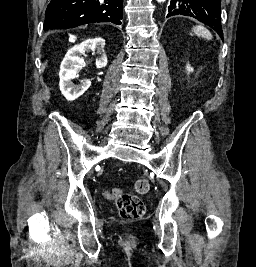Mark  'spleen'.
I'll use <instances>...</instances> for the list:
<instances>
[{
    "mask_svg": "<svg viewBox=\"0 0 256 267\" xmlns=\"http://www.w3.org/2000/svg\"><path fill=\"white\" fill-rule=\"evenodd\" d=\"M193 34L191 36H200V38H206V40H212L213 36L207 28H204V26H194L192 28Z\"/></svg>",
    "mask_w": 256,
    "mask_h": 267,
    "instance_id": "obj_1",
    "label": "spleen"
}]
</instances>
